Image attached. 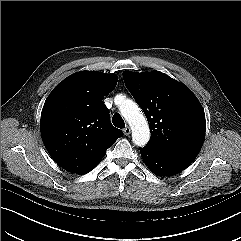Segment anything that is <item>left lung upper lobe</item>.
Instances as JSON below:
<instances>
[{"label":"left lung upper lobe","mask_w":241,"mask_h":241,"mask_svg":"<svg viewBox=\"0 0 241 241\" xmlns=\"http://www.w3.org/2000/svg\"><path fill=\"white\" fill-rule=\"evenodd\" d=\"M123 78L147 117L151 138L146 147L192 162L202 147L205 133L204 110L195 95L159 71H128Z\"/></svg>","instance_id":"1"}]
</instances>
